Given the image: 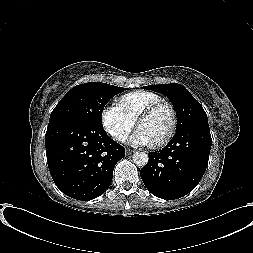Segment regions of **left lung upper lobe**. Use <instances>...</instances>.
I'll return each mask as SVG.
<instances>
[{
    "instance_id": "1",
    "label": "left lung upper lobe",
    "mask_w": 253,
    "mask_h": 253,
    "mask_svg": "<svg viewBox=\"0 0 253 253\" xmlns=\"http://www.w3.org/2000/svg\"><path fill=\"white\" fill-rule=\"evenodd\" d=\"M159 92L171 101L177 113L176 131L193 123L208 124L207 115L201 104L181 84H159L143 87Z\"/></svg>"
}]
</instances>
